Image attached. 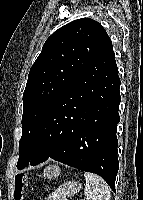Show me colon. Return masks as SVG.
<instances>
[{
  "label": "colon",
  "mask_w": 143,
  "mask_h": 200,
  "mask_svg": "<svg viewBox=\"0 0 143 200\" xmlns=\"http://www.w3.org/2000/svg\"><path fill=\"white\" fill-rule=\"evenodd\" d=\"M27 185V176L23 173H19L15 176L14 181V194L17 197V200L20 199V196Z\"/></svg>",
  "instance_id": "colon-1"
}]
</instances>
